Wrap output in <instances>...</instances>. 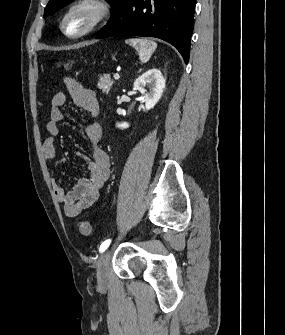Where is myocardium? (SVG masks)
<instances>
[{
  "mask_svg": "<svg viewBox=\"0 0 285 335\" xmlns=\"http://www.w3.org/2000/svg\"><path fill=\"white\" fill-rule=\"evenodd\" d=\"M89 8L94 11L90 22L84 24L80 29L72 32V36L77 37L91 32L105 22L112 13L111 5L107 1H78L70 9L69 18L73 17L78 11Z\"/></svg>",
  "mask_w": 285,
  "mask_h": 335,
  "instance_id": "myocardium-1",
  "label": "myocardium"
}]
</instances>
